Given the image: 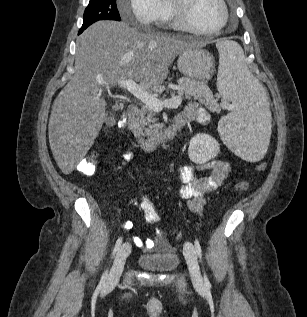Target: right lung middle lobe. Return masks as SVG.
I'll list each match as a JSON object with an SVG mask.
<instances>
[{"instance_id":"right-lung-middle-lobe-1","label":"right lung middle lobe","mask_w":307,"mask_h":317,"mask_svg":"<svg viewBox=\"0 0 307 317\" xmlns=\"http://www.w3.org/2000/svg\"><path fill=\"white\" fill-rule=\"evenodd\" d=\"M99 20H121L116 7V0H90L84 12L81 31Z\"/></svg>"}]
</instances>
